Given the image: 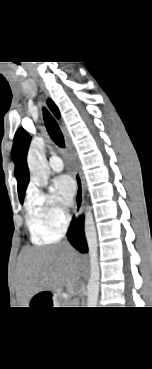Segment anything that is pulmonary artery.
I'll return each instance as SVG.
<instances>
[{
    "instance_id": "pulmonary-artery-1",
    "label": "pulmonary artery",
    "mask_w": 152,
    "mask_h": 369,
    "mask_svg": "<svg viewBox=\"0 0 152 369\" xmlns=\"http://www.w3.org/2000/svg\"><path fill=\"white\" fill-rule=\"evenodd\" d=\"M51 169L55 172H60L64 168L62 159L58 155H53L49 160Z\"/></svg>"
}]
</instances>
